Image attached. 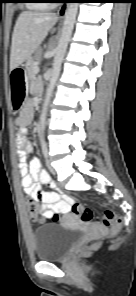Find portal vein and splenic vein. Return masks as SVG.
I'll list each match as a JSON object with an SVG mask.
<instances>
[{
    "instance_id": "1",
    "label": "portal vein and splenic vein",
    "mask_w": 136,
    "mask_h": 296,
    "mask_svg": "<svg viewBox=\"0 0 136 296\" xmlns=\"http://www.w3.org/2000/svg\"><path fill=\"white\" fill-rule=\"evenodd\" d=\"M38 72H39V67H38V66H35V67H34V73L37 74Z\"/></svg>"
}]
</instances>
